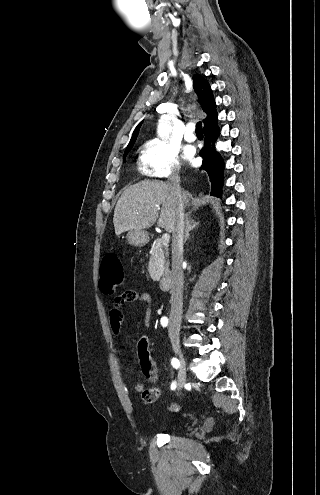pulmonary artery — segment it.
<instances>
[{"mask_svg":"<svg viewBox=\"0 0 320 495\" xmlns=\"http://www.w3.org/2000/svg\"><path fill=\"white\" fill-rule=\"evenodd\" d=\"M184 138L188 142H193L196 140V136L194 134V126L192 124L187 125Z\"/></svg>","mask_w":320,"mask_h":495,"instance_id":"obj_1","label":"pulmonary artery"}]
</instances>
